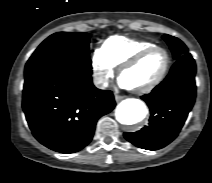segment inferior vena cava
<instances>
[{"label":"inferior vena cava","mask_w":212,"mask_h":183,"mask_svg":"<svg viewBox=\"0 0 212 183\" xmlns=\"http://www.w3.org/2000/svg\"><path fill=\"white\" fill-rule=\"evenodd\" d=\"M94 85L97 88L103 89L108 86V81L103 75H96L94 77Z\"/></svg>","instance_id":"inferior-vena-cava-1"}]
</instances>
